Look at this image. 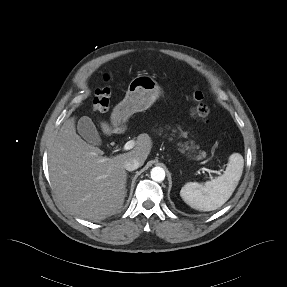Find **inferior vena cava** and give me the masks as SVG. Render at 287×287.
Returning a JSON list of instances; mask_svg holds the SVG:
<instances>
[{
	"label": "inferior vena cava",
	"mask_w": 287,
	"mask_h": 287,
	"mask_svg": "<svg viewBox=\"0 0 287 287\" xmlns=\"http://www.w3.org/2000/svg\"><path fill=\"white\" fill-rule=\"evenodd\" d=\"M140 165L141 164L137 159L128 158L127 160H125L123 166L127 171H134V170L138 169L140 167Z\"/></svg>",
	"instance_id": "obj_1"
}]
</instances>
